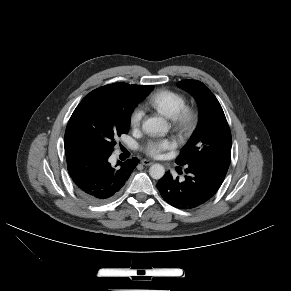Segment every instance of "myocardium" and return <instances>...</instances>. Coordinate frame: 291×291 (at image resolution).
Instances as JSON below:
<instances>
[{"mask_svg": "<svg viewBox=\"0 0 291 291\" xmlns=\"http://www.w3.org/2000/svg\"><path fill=\"white\" fill-rule=\"evenodd\" d=\"M197 120V111L186 105L172 118L174 127L183 136H188L193 132Z\"/></svg>", "mask_w": 291, "mask_h": 291, "instance_id": "obj_1", "label": "myocardium"}]
</instances>
